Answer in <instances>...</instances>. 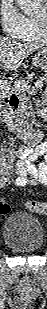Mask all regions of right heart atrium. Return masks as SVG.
Segmentation results:
<instances>
[{
    "mask_svg": "<svg viewBox=\"0 0 47 309\" xmlns=\"http://www.w3.org/2000/svg\"><path fill=\"white\" fill-rule=\"evenodd\" d=\"M0 23L6 36L19 40L25 31V16L14 0H0Z\"/></svg>",
    "mask_w": 47,
    "mask_h": 309,
    "instance_id": "right-heart-atrium-1",
    "label": "right heart atrium"
}]
</instances>
